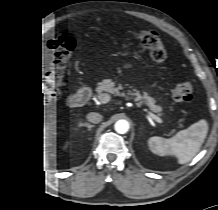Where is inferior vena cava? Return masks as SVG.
I'll return each instance as SVG.
<instances>
[{"instance_id":"obj_1","label":"inferior vena cava","mask_w":218,"mask_h":210,"mask_svg":"<svg viewBox=\"0 0 218 210\" xmlns=\"http://www.w3.org/2000/svg\"><path fill=\"white\" fill-rule=\"evenodd\" d=\"M87 119L91 123H99L102 120V116L98 113H90L88 114Z\"/></svg>"}]
</instances>
